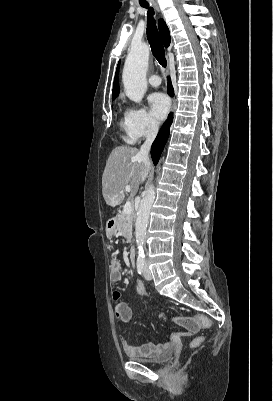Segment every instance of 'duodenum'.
<instances>
[{"label":"duodenum","mask_w":273,"mask_h":401,"mask_svg":"<svg viewBox=\"0 0 273 401\" xmlns=\"http://www.w3.org/2000/svg\"><path fill=\"white\" fill-rule=\"evenodd\" d=\"M114 225H115V219L112 218V219H110V221L108 223L109 230H112ZM135 256H136L135 248L132 246V247H130L129 252H128V257H129V261L131 264H133L135 262Z\"/></svg>","instance_id":"410a0bca"}]
</instances>
